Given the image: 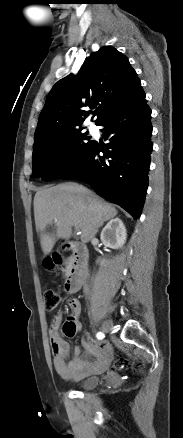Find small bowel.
<instances>
[{"instance_id":"1","label":"small bowel","mask_w":183,"mask_h":438,"mask_svg":"<svg viewBox=\"0 0 183 438\" xmlns=\"http://www.w3.org/2000/svg\"><path fill=\"white\" fill-rule=\"evenodd\" d=\"M70 310L71 314L66 322L73 323L77 332L81 330L82 327L79 321L81 312L80 302L78 300H72L70 302ZM62 319V314L59 313L52 318L50 325L53 366L57 374L65 380H81L87 376L105 372L110 358L109 346L107 344H99L88 337H83L81 344L86 353L95 357L97 361L91 363L86 356L82 355L80 348L76 347L73 358L69 362H66L70 346L59 333Z\"/></svg>"}]
</instances>
